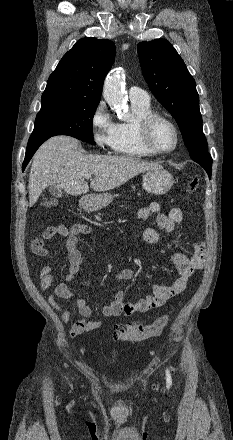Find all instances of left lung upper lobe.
I'll use <instances>...</instances> for the list:
<instances>
[{
    "label": "left lung upper lobe",
    "instance_id": "left-lung-upper-lobe-1",
    "mask_svg": "<svg viewBox=\"0 0 233 440\" xmlns=\"http://www.w3.org/2000/svg\"><path fill=\"white\" fill-rule=\"evenodd\" d=\"M143 76L156 99L176 120L192 159L211 157L202 130L195 80L175 48L165 39L137 47Z\"/></svg>",
    "mask_w": 233,
    "mask_h": 440
}]
</instances>
